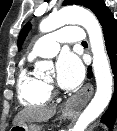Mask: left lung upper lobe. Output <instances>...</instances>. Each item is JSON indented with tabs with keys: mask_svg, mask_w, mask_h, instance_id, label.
<instances>
[{
	"mask_svg": "<svg viewBox=\"0 0 117 131\" xmlns=\"http://www.w3.org/2000/svg\"><path fill=\"white\" fill-rule=\"evenodd\" d=\"M81 5L89 8L96 16L106 6L103 0H64L63 6L66 5ZM31 24L27 23L21 30L18 38V48L20 50L22 43L30 30Z\"/></svg>",
	"mask_w": 117,
	"mask_h": 131,
	"instance_id": "obj_1",
	"label": "left lung upper lobe"
}]
</instances>
